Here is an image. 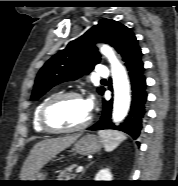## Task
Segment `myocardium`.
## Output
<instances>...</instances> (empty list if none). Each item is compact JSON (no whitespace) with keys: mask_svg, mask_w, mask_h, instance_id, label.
<instances>
[{"mask_svg":"<svg viewBox=\"0 0 178 186\" xmlns=\"http://www.w3.org/2000/svg\"><path fill=\"white\" fill-rule=\"evenodd\" d=\"M78 98L81 100H84L83 96L76 92V91H67V92H62L53 95L50 97L42 106L39 114V123L41 127L48 133H53V134H64V133H74V132H79L84 129H86L92 122V113L91 111L89 112V115L87 119L79 126L72 127V128H56L53 127L49 121H48V112L51 109V107L57 103L58 101L65 99V98Z\"/></svg>","mask_w":178,"mask_h":186,"instance_id":"myocardium-1","label":"myocardium"}]
</instances>
